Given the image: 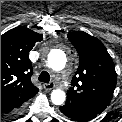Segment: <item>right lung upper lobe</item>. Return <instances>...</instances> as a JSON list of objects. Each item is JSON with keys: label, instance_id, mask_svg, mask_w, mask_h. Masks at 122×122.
<instances>
[{"label": "right lung upper lobe", "instance_id": "obj_1", "mask_svg": "<svg viewBox=\"0 0 122 122\" xmlns=\"http://www.w3.org/2000/svg\"><path fill=\"white\" fill-rule=\"evenodd\" d=\"M42 39V34L26 27L13 28L1 36V103L22 105L38 92L31 82L29 51Z\"/></svg>", "mask_w": 122, "mask_h": 122}]
</instances>
